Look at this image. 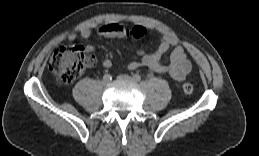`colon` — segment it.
<instances>
[{
  "instance_id": "colon-1",
  "label": "colon",
  "mask_w": 259,
  "mask_h": 156,
  "mask_svg": "<svg viewBox=\"0 0 259 156\" xmlns=\"http://www.w3.org/2000/svg\"><path fill=\"white\" fill-rule=\"evenodd\" d=\"M146 31L142 27H134L127 31V36L140 39L145 35ZM92 58L84 53L82 46L71 44L57 49L49 61V69L54 74L57 83L61 86H67L78 78L90 65ZM182 91L190 95L194 91V86L190 82L182 85Z\"/></svg>"
}]
</instances>
